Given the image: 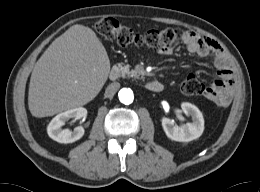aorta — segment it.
Returning a JSON list of instances; mask_svg holds the SVG:
<instances>
[{"instance_id": "762f6f07", "label": "aorta", "mask_w": 260, "mask_h": 192, "mask_svg": "<svg viewBox=\"0 0 260 192\" xmlns=\"http://www.w3.org/2000/svg\"><path fill=\"white\" fill-rule=\"evenodd\" d=\"M118 97L120 102L125 105L131 104L134 100L133 91L129 88H122L118 93Z\"/></svg>"}]
</instances>
